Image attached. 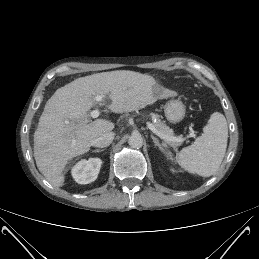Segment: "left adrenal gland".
Here are the masks:
<instances>
[{"mask_svg": "<svg viewBox=\"0 0 259 259\" xmlns=\"http://www.w3.org/2000/svg\"><path fill=\"white\" fill-rule=\"evenodd\" d=\"M151 138L153 139L154 143H155V146L159 148V150L166 155V151L165 149L163 148V146L159 143V140L154 137L153 135L151 136Z\"/></svg>", "mask_w": 259, "mask_h": 259, "instance_id": "a2214340", "label": "left adrenal gland"}]
</instances>
